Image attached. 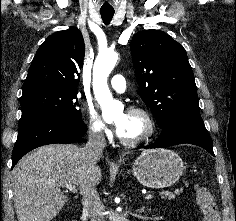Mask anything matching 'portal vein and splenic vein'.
I'll use <instances>...</instances> for the list:
<instances>
[{
    "instance_id": "portal-vein-and-splenic-vein-1",
    "label": "portal vein and splenic vein",
    "mask_w": 236,
    "mask_h": 221,
    "mask_svg": "<svg viewBox=\"0 0 236 221\" xmlns=\"http://www.w3.org/2000/svg\"><path fill=\"white\" fill-rule=\"evenodd\" d=\"M60 186L68 189L69 191H71L73 193L77 192V188L74 185H71V184L63 185V184H61ZM151 198H153V194H148V195L145 196V199H151Z\"/></svg>"
}]
</instances>
